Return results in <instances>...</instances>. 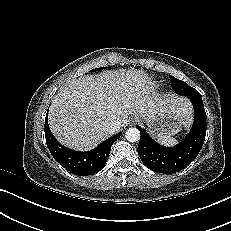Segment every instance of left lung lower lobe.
Instances as JSON below:
<instances>
[{
  "mask_svg": "<svg viewBox=\"0 0 231 231\" xmlns=\"http://www.w3.org/2000/svg\"><path fill=\"white\" fill-rule=\"evenodd\" d=\"M193 104L195 119L191 131L176 146L168 148L156 143L137 126L141 137L138 154L143 164L158 173L172 174L187 167L200 152L206 136V112L202 96L188 97Z\"/></svg>",
  "mask_w": 231,
  "mask_h": 231,
  "instance_id": "0a47b994",
  "label": "left lung lower lobe"
}]
</instances>
